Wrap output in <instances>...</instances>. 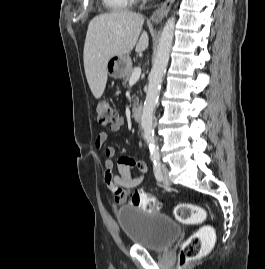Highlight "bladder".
<instances>
[{
    "instance_id": "1",
    "label": "bladder",
    "mask_w": 265,
    "mask_h": 269,
    "mask_svg": "<svg viewBox=\"0 0 265 269\" xmlns=\"http://www.w3.org/2000/svg\"><path fill=\"white\" fill-rule=\"evenodd\" d=\"M120 229L132 245L165 251L180 237L181 227L167 215L124 205L116 210Z\"/></svg>"
}]
</instances>
